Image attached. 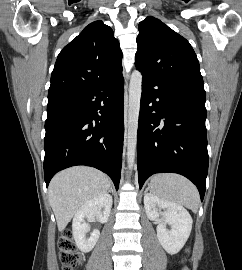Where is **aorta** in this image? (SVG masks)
I'll use <instances>...</instances> for the list:
<instances>
[{"label": "aorta", "mask_w": 242, "mask_h": 270, "mask_svg": "<svg viewBox=\"0 0 242 270\" xmlns=\"http://www.w3.org/2000/svg\"><path fill=\"white\" fill-rule=\"evenodd\" d=\"M141 92L142 74L138 70H134L130 78L127 124V163L130 170L135 161Z\"/></svg>", "instance_id": "obj_1"}]
</instances>
